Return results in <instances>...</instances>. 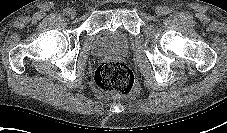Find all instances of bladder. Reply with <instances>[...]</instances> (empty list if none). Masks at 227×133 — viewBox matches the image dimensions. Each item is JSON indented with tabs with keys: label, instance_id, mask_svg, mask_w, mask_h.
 Wrapping results in <instances>:
<instances>
[{
	"label": "bladder",
	"instance_id": "bladder-1",
	"mask_svg": "<svg viewBox=\"0 0 227 133\" xmlns=\"http://www.w3.org/2000/svg\"><path fill=\"white\" fill-rule=\"evenodd\" d=\"M130 47V36L122 29L99 31L92 41L91 50L94 54H122Z\"/></svg>",
	"mask_w": 227,
	"mask_h": 133
}]
</instances>
